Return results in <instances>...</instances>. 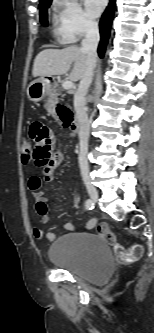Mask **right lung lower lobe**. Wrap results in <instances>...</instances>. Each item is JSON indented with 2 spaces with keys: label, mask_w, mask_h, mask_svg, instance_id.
<instances>
[{
  "label": "right lung lower lobe",
  "mask_w": 154,
  "mask_h": 333,
  "mask_svg": "<svg viewBox=\"0 0 154 333\" xmlns=\"http://www.w3.org/2000/svg\"><path fill=\"white\" fill-rule=\"evenodd\" d=\"M115 2L116 0H110V3L100 20L99 26H100L101 40L98 47V54L101 58L104 56L106 44L110 34V27L113 19Z\"/></svg>",
  "instance_id": "right-lung-lower-lobe-1"
}]
</instances>
